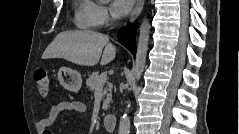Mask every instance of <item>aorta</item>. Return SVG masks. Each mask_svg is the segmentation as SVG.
<instances>
[{
  "label": "aorta",
  "instance_id": "obj_1",
  "mask_svg": "<svg viewBox=\"0 0 239 134\" xmlns=\"http://www.w3.org/2000/svg\"><path fill=\"white\" fill-rule=\"evenodd\" d=\"M150 35V24L148 19H144L139 29V38L136 51L135 65L133 68L134 78L138 81L144 70L146 63V56L148 51V42ZM129 105L126 108V113L123 114L119 123V134H129L130 131V118L127 115Z\"/></svg>",
  "mask_w": 239,
  "mask_h": 134
}]
</instances>
